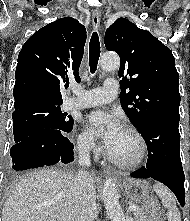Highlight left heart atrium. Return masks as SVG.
Segmentation results:
<instances>
[{"mask_svg": "<svg viewBox=\"0 0 190 221\" xmlns=\"http://www.w3.org/2000/svg\"><path fill=\"white\" fill-rule=\"evenodd\" d=\"M85 122L92 133L102 137L107 147L122 129L115 114L101 110L90 113Z\"/></svg>", "mask_w": 190, "mask_h": 221, "instance_id": "39dd6f15", "label": "left heart atrium"}]
</instances>
